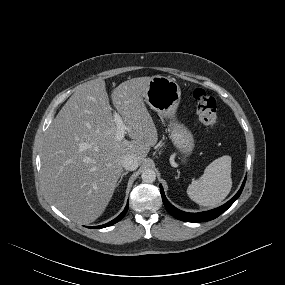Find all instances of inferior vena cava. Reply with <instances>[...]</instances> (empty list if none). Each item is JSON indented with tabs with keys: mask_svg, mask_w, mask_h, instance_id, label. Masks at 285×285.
Listing matches in <instances>:
<instances>
[{
	"mask_svg": "<svg viewBox=\"0 0 285 285\" xmlns=\"http://www.w3.org/2000/svg\"><path fill=\"white\" fill-rule=\"evenodd\" d=\"M120 163H121L123 168H125L126 170H129V171H133V170L137 169V167L139 165L137 158L131 154L124 155L121 158Z\"/></svg>",
	"mask_w": 285,
	"mask_h": 285,
	"instance_id": "inferior-vena-cava-1",
	"label": "inferior vena cava"
}]
</instances>
